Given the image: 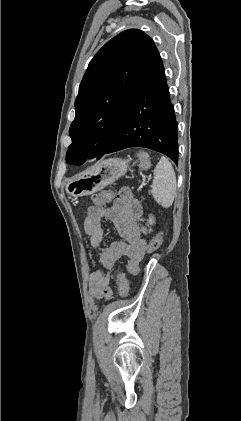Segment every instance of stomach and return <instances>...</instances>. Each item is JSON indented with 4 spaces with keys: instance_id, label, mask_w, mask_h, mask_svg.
Returning <instances> with one entry per match:
<instances>
[{
    "instance_id": "stomach-1",
    "label": "stomach",
    "mask_w": 241,
    "mask_h": 421,
    "mask_svg": "<svg viewBox=\"0 0 241 421\" xmlns=\"http://www.w3.org/2000/svg\"><path fill=\"white\" fill-rule=\"evenodd\" d=\"M128 167L129 162L124 159L100 161L80 176L69 180L65 190L74 198L91 195L123 176Z\"/></svg>"
}]
</instances>
